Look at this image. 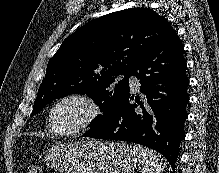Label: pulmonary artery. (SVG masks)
Here are the masks:
<instances>
[{
    "instance_id": "e3ab8cb5",
    "label": "pulmonary artery",
    "mask_w": 219,
    "mask_h": 173,
    "mask_svg": "<svg viewBox=\"0 0 219 173\" xmlns=\"http://www.w3.org/2000/svg\"><path fill=\"white\" fill-rule=\"evenodd\" d=\"M130 82L134 88H136V89L138 88L139 85H138V81H137L136 77L130 76Z\"/></svg>"
}]
</instances>
